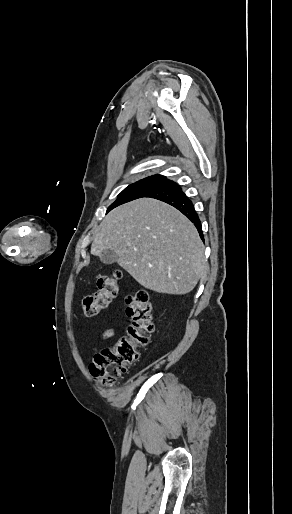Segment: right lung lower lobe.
<instances>
[{"label":"right lung lower lobe","mask_w":292,"mask_h":514,"mask_svg":"<svg viewBox=\"0 0 292 514\" xmlns=\"http://www.w3.org/2000/svg\"><path fill=\"white\" fill-rule=\"evenodd\" d=\"M143 197L155 198L177 208L191 222L194 223L200 234L201 239L204 240L201 222L199 220L198 214L196 213L191 200L187 198V196L178 184L166 179L163 182L156 185L155 187H153L152 189H150L147 193L143 195Z\"/></svg>","instance_id":"obj_1"}]
</instances>
